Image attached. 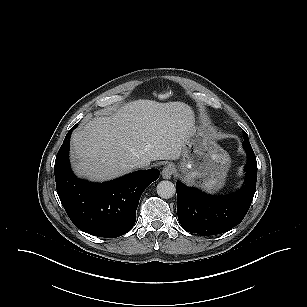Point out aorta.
Returning <instances> with one entry per match:
<instances>
[{
  "label": "aorta",
  "instance_id": "1",
  "mask_svg": "<svg viewBox=\"0 0 307 307\" xmlns=\"http://www.w3.org/2000/svg\"><path fill=\"white\" fill-rule=\"evenodd\" d=\"M175 185L167 180L161 181L157 185V194L164 199L172 198L175 195Z\"/></svg>",
  "mask_w": 307,
  "mask_h": 307
}]
</instances>
